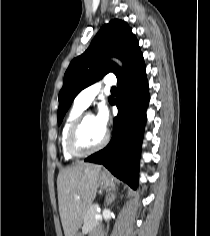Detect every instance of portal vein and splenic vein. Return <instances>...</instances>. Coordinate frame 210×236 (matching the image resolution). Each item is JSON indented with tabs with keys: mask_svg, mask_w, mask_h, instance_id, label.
I'll use <instances>...</instances> for the list:
<instances>
[{
	"mask_svg": "<svg viewBox=\"0 0 210 236\" xmlns=\"http://www.w3.org/2000/svg\"><path fill=\"white\" fill-rule=\"evenodd\" d=\"M95 219L101 220V219H102V215H101L100 213H97V214L95 215Z\"/></svg>",
	"mask_w": 210,
	"mask_h": 236,
	"instance_id": "portal-vein-and-splenic-vein-1",
	"label": "portal vein and splenic vein"
}]
</instances>
